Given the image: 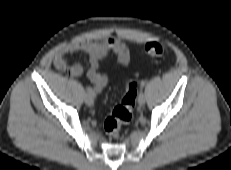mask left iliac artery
Here are the masks:
<instances>
[{"mask_svg":"<svg viewBox=\"0 0 231 170\" xmlns=\"http://www.w3.org/2000/svg\"><path fill=\"white\" fill-rule=\"evenodd\" d=\"M141 85H142V86H145V82L143 81V82L141 83Z\"/></svg>","mask_w":231,"mask_h":170,"instance_id":"left-iliac-artery-1","label":"left iliac artery"}]
</instances>
